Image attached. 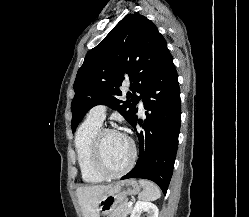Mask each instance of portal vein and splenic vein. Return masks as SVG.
<instances>
[{"label":"portal vein and splenic vein","mask_w":249,"mask_h":217,"mask_svg":"<svg viewBox=\"0 0 249 217\" xmlns=\"http://www.w3.org/2000/svg\"><path fill=\"white\" fill-rule=\"evenodd\" d=\"M127 206L131 207L132 206V202H128Z\"/></svg>","instance_id":"18ae733b"}]
</instances>
